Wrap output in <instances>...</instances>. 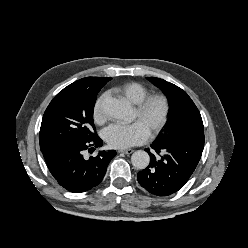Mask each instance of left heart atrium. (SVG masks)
<instances>
[{
    "instance_id": "obj_1",
    "label": "left heart atrium",
    "mask_w": 248,
    "mask_h": 248,
    "mask_svg": "<svg viewBox=\"0 0 248 248\" xmlns=\"http://www.w3.org/2000/svg\"><path fill=\"white\" fill-rule=\"evenodd\" d=\"M149 130L141 120L130 124L114 123L103 132L109 146L116 149H127L147 140Z\"/></svg>"
}]
</instances>
